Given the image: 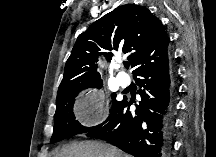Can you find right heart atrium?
Returning a JSON list of instances; mask_svg holds the SVG:
<instances>
[{
  "label": "right heart atrium",
  "instance_id": "1",
  "mask_svg": "<svg viewBox=\"0 0 216 157\" xmlns=\"http://www.w3.org/2000/svg\"><path fill=\"white\" fill-rule=\"evenodd\" d=\"M86 106V110L80 117V122L84 125L98 124L108 115L109 107L96 90L88 94Z\"/></svg>",
  "mask_w": 216,
  "mask_h": 157
}]
</instances>
